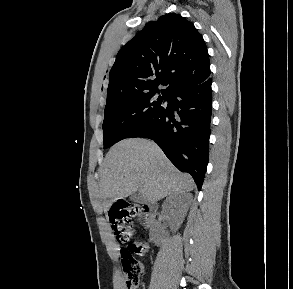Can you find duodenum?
Instances as JSON below:
<instances>
[{
  "label": "duodenum",
  "instance_id": "obj_1",
  "mask_svg": "<svg viewBox=\"0 0 293 289\" xmlns=\"http://www.w3.org/2000/svg\"><path fill=\"white\" fill-rule=\"evenodd\" d=\"M157 212V206L154 204L146 205L144 208V227L149 228Z\"/></svg>",
  "mask_w": 293,
  "mask_h": 289
}]
</instances>
